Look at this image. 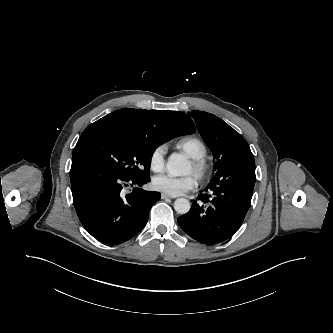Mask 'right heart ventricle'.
Returning <instances> with one entry per match:
<instances>
[{"mask_svg":"<svg viewBox=\"0 0 333 333\" xmlns=\"http://www.w3.org/2000/svg\"><path fill=\"white\" fill-rule=\"evenodd\" d=\"M176 148L182 150L190 158H202L207 155L205 143L197 137L186 136L175 143Z\"/></svg>","mask_w":333,"mask_h":333,"instance_id":"obj_1","label":"right heart ventricle"}]
</instances>
